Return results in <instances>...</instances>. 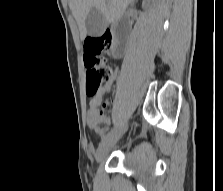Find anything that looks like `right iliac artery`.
<instances>
[{"mask_svg":"<svg viewBox=\"0 0 223 191\" xmlns=\"http://www.w3.org/2000/svg\"><path fill=\"white\" fill-rule=\"evenodd\" d=\"M114 131L109 132L108 134H106L103 138H102V142L105 141L106 139H108L109 137H111L113 135Z\"/></svg>","mask_w":223,"mask_h":191,"instance_id":"1","label":"right iliac artery"}]
</instances>
